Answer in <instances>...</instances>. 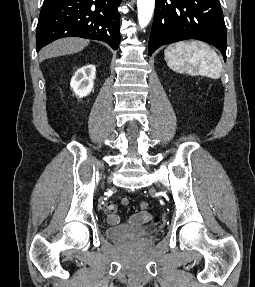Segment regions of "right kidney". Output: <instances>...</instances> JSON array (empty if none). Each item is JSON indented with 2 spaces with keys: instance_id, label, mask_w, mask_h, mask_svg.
Returning a JSON list of instances; mask_svg holds the SVG:
<instances>
[{
  "instance_id": "obj_1",
  "label": "right kidney",
  "mask_w": 255,
  "mask_h": 287,
  "mask_svg": "<svg viewBox=\"0 0 255 287\" xmlns=\"http://www.w3.org/2000/svg\"><path fill=\"white\" fill-rule=\"evenodd\" d=\"M96 74L95 66L87 64L83 68H79L73 76L70 86L77 96H88L94 86V78Z\"/></svg>"
}]
</instances>
